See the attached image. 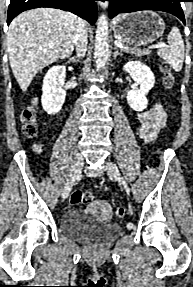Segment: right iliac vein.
I'll return each instance as SVG.
<instances>
[{
    "mask_svg": "<svg viewBox=\"0 0 193 287\" xmlns=\"http://www.w3.org/2000/svg\"><path fill=\"white\" fill-rule=\"evenodd\" d=\"M83 162H84L83 155L81 153L77 154L75 157L69 178H68V180L65 184V187L63 189V192H62V198L63 199H66L69 196L70 191L73 187V184H74L76 178L78 177V175L82 169Z\"/></svg>",
    "mask_w": 193,
    "mask_h": 287,
    "instance_id": "obj_1",
    "label": "right iliac vein"
}]
</instances>
